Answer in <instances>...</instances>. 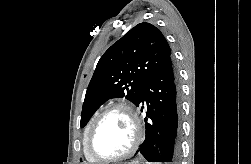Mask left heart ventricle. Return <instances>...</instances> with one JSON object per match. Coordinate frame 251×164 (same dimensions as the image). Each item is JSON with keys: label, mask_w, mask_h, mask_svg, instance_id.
<instances>
[{"label": "left heart ventricle", "mask_w": 251, "mask_h": 164, "mask_svg": "<svg viewBox=\"0 0 251 164\" xmlns=\"http://www.w3.org/2000/svg\"><path fill=\"white\" fill-rule=\"evenodd\" d=\"M134 139V127L131 119L123 110L107 114L92 141V151L103 158L120 155L128 150Z\"/></svg>", "instance_id": "obj_1"}]
</instances>
